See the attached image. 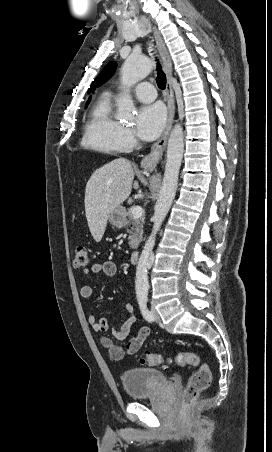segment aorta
Returning a JSON list of instances; mask_svg holds the SVG:
<instances>
[{
  "label": "aorta",
  "instance_id": "aorta-1",
  "mask_svg": "<svg viewBox=\"0 0 272 452\" xmlns=\"http://www.w3.org/2000/svg\"><path fill=\"white\" fill-rule=\"evenodd\" d=\"M151 70L152 62L148 58L131 54L125 60L121 69L122 83L125 86H131L145 78ZM134 112L135 106L133 101L128 94H125L118 100L116 116L120 120H130ZM183 152V129L180 124H176L168 140L164 178L159 192V198L155 205L152 233L145 243L136 267L135 290L137 296L147 295L148 293V262L155 245L156 234L160 230L176 194Z\"/></svg>",
  "mask_w": 272,
  "mask_h": 452
}]
</instances>
